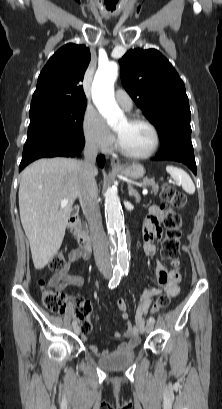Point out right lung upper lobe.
Masks as SVG:
<instances>
[{
	"instance_id": "right-lung-upper-lobe-1",
	"label": "right lung upper lobe",
	"mask_w": 222,
	"mask_h": 409,
	"mask_svg": "<svg viewBox=\"0 0 222 409\" xmlns=\"http://www.w3.org/2000/svg\"><path fill=\"white\" fill-rule=\"evenodd\" d=\"M91 56L84 45L68 43L61 47L41 71L30 109L54 104L86 103L84 73Z\"/></svg>"
}]
</instances>
